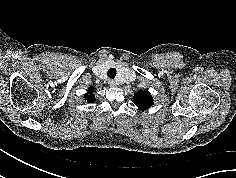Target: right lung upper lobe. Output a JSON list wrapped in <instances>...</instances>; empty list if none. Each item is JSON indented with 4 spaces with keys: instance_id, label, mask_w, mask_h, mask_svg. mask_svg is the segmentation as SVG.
<instances>
[{
    "instance_id": "1",
    "label": "right lung upper lobe",
    "mask_w": 236,
    "mask_h": 178,
    "mask_svg": "<svg viewBox=\"0 0 236 178\" xmlns=\"http://www.w3.org/2000/svg\"><path fill=\"white\" fill-rule=\"evenodd\" d=\"M93 90H94V88L90 87V91H93ZM85 99L89 103H92V102H94L96 100L95 96L91 92H88L87 94H85Z\"/></svg>"
}]
</instances>
